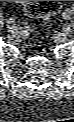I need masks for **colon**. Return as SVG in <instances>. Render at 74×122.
<instances>
[{
    "label": "colon",
    "instance_id": "5ec220e1",
    "mask_svg": "<svg viewBox=\"0 0 74 122\" xmlns=\"http://www.w3.org/2000/svg\"><path fill=\"white\" fill-rule=\"evenodd\" d=\"M43 1H31V4H29L26 7V13L31 16H40L43 17L47 14H50L55 11L56 9V3H53V1H47L49 3L48 5H45L42 3Z\"/></svg>",
    "mask_w": 74,
    "mask_h": 122
}]
</instances>
